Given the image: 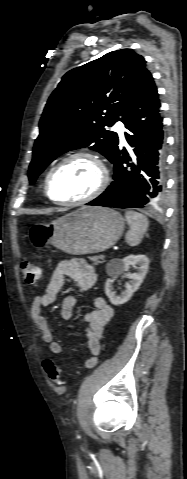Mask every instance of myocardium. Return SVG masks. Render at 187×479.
Returning <instances> with one entry per match:
<instances>
[{
    "label": "myocardium",
    "instance_id": "obj_1",
    "mask_svg": "<svg viewBox=\"0 0 187 479\" xmlns=\"http://www.w3.org/2000/svg\"><path fill=\"white\" fill-rule=\"evenodd\" d=\"M79 158L89 159L92 162H94L95 165L98 167V169H99V182H98L97 186L95 187V189L91 193H89L88 195H86L82 198L76 199V200L59 201V200L54 199L50 194V183H51L52 177L54 176L56 171L60 167H62L64 164H66L67 162H70L74 159H79ZM108 183H109V172H108V169H107L105 163L101 160V158L98 155H96L92 152L77 151V152H74V153H71V154L65 156L64 158H62L60 161H58L50 169V171L48 172V174L45 178V182H44V194L51 202H53L55 204H58V205H63V206L82 205V204L91 202L94 199L98 198L106 190V188L108 186Z\"/></svg>",
    "mask_w": 187,
    "mask_h": 479
}]
</instances>
